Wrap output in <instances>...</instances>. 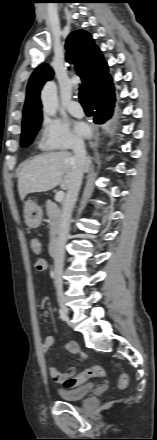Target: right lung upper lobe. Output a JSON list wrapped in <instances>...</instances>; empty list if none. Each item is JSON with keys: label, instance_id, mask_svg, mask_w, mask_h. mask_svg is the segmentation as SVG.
Returning <instances> with one entry per match:
<instances>
[{"label": "right lung upper lobe", "instance_id": "right-lung-upper-lobe-1", "mask_svg": "<svg viewBox=\"0 0 157 440\" xmlns=\"http://www.w3.org/2000/svg\"><path fill=\"white\" fill-rule=\"evenodd\" d=\"M66 58L72 62L93 102H97L114 92L107 63L100 49L94 44L92 36L84 31L72 32L66 40ZM53 76L48 64L37 67L27 85L26 101L23 110L22 126L41 123L42 112L40 90Z\"/></svg>", "mask_w": 157, "mask_h": 440}]
</instances>
